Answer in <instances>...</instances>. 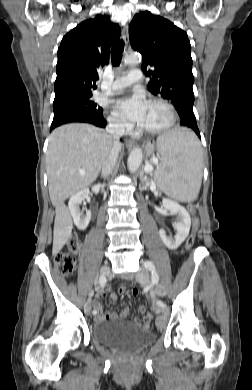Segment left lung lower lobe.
I'll use <instances>...</instances> for the list:
<instances>
[{
    "instance_id": "1",
    "label": "left lung lower lobe",
    "mask_w": 252,
    "mask_h": 390,
    "mask_svg": "<svg viewBox=\"0 0 252 390\" xmlns=\"http://www.w3.org/2000/svg\"><path fill=\"white\" fill-rule=\"evenodd\" d=\"M178 114H179L180 119H181L180 124L184 127L191 128L192 130L195 131V133L198 135V137L201 138L200 133H199V129H198L197 124H196V118H195V115L193 113V110L187 106H184L180 109Z\"/></svg>"
}]
</instances>
